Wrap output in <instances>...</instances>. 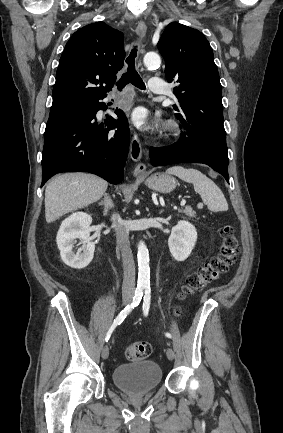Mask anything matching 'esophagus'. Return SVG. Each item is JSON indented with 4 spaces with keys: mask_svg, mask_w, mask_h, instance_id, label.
Here are the masks:
<instances>
[{
    "mask_svg": "<svg viewBox=\"0 0 283 433\" xmlns=\"http://www.w3.org/2000/svg\"><path fill=\"white\" fill-rule=\"evenodd\" d=\"M147 32V26L144 22H138L137 24V28H136V33L137 35H139L141 38H144ZM129 153H130V157L133 161L138 162L135 170H134V174H138V173H142L143 171H145L146 166L140 162L141 157H142V146L140 143V140L137 136V134H133L132 136V140L130 143V148H129Z\"/></svg>",
    "mask_w": 283,
    "mask_h": 433,
    "instance_id": "obj_1",
    "label": "esophagus"
}]
</instances>
